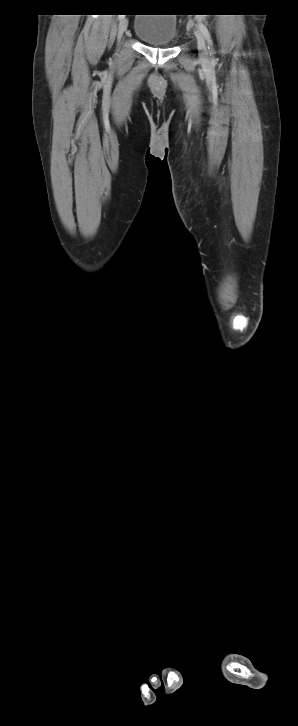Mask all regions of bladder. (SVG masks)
<instances>
[{"instance_id": "1", "label": "bladder", "mask_w": 298, "mask_h": 726, "mask_svg": "<svg viewBox=\"0 0 298 726\" xmlns=\"http://www.w3.org/2000/svg\"><path fill=\"white\" fill-rule=\"evenodd\" d=\"M134 34L149 46L168 47L177 39V20L172 14H138Z\"/></svg>"}]
</instances>
